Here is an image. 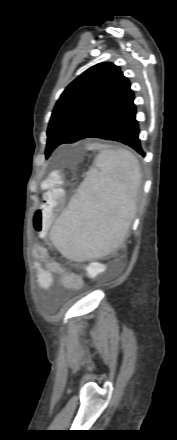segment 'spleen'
Here are the masks:
<instances>
[{"label":"spleen","instance_id":"spleen-1","mask_svg":"<svg viewBox=\"0 0 177 440\" xmlns=\"http://www.w3.org/2000/svg\"><path fill=\"white\" fill-rule=\"evenodd\" d=\"M94 165L50 232L56 248L74 261L117 249L135 215L141 180L136 157L125 149L106 150L97 155Z\"/></svg>","mask_w":177,"mask_h":440}]
</instances>
